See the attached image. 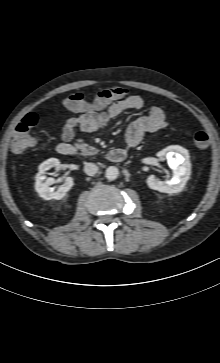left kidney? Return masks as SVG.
Here are the masks:
<instances>
[{
  "label": "left kidney",
  "mask_w": 220,
  "mask_h": 363,
  "mask_svg": "<svg viewBox=\"0 0 220 363\" xmlns=\"http://www.w3.org/2000/svg\"><path fill=\"white\" fill-rule=\"evenodd\" d=\"M157 156L167 158L168 165L173 170V177L171 180L160 181L154 175H150L146 180L148 187L163 193L180 192L191 174L188 151L181 146L173 145L159 151Z\"/></svg>",
  "instance_id": "5707ae66"
}]
</instances>
